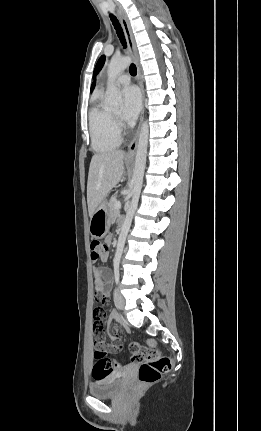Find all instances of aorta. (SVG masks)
I'll list each match as a JSON object with an SVG mask.
<instances>
[{
	"mask_svg": "<svg viewBox=\"0 0 261 431\" xmlns=\"http://www.w3.org/2000/svg\"><path fill=\"white\" fill-rule=\"evenodd\" d=\"M131 64V59L129 57L112 58L108 70V82L106 99L107 105L111 108H116L122 103V94L119 88L116 86V78ZM148 135L149 128L147 121H144L141 127L138 147L135 159V170L132 178L133 182V196L130 205L126 212V217L124 224L121 228V233L118 238L116 253L114 257V264L118 265L122 256L123 248L125 245V240L129 232L133 215L138 205V200L143 184V176L146 164L147 146H148Z\"/></svg>",
	"mask_w": 261,
	"mask_h": 431,
	"instance_id": "aorta-1",
	"label": "aorta"
}]
</instances>
